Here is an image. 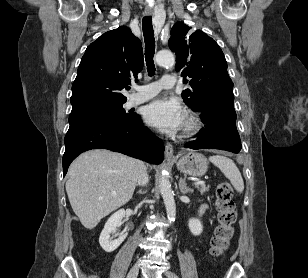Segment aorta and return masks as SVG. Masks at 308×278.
<instances>
[{
    "instance_id": "obj_1",
    "label": "aorta",
    "mask_w": 308,
    "mask_h": 278,
    "mask_svg": "<svg viewBox=\"0 0 308 278\" xmlns=\"http://www.w3.org/2000/svg\"><path fill=\"white\" fill-rule=\"evenodd\" d=\"M156 62L160 66H170L174 64L175 58L170 51H159L156 55ZM160 192L163 197L168 220L171 222L176 216V205L171 184L165 171H162L160 179Z\"/></svg>"
}]
</instances>
